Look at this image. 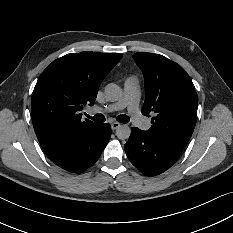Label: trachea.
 Instances as JSON below:
<instances>
[{"label": "trachea", "mask_w": 233, "mask_h": 233, "mask_svg": "<svg viewBox=\"0 0 233 233\" xmlns=\"http://www.w3.org/2000/svg\"><path fill=\"white\" fill-rule=\"evenodd\" d=\"M86 116H87V118H89L91 120H94L95 122H104L105 121V117L101 113H98V114L94 115L93 117H91V116H89L87 114H86ZM116 120L118 122H121V123H128L130 119H129V117L127 115L122 114V115H118L116 117Z\"/></svg>", "instance_id": "obj_1"}]
</instances>
